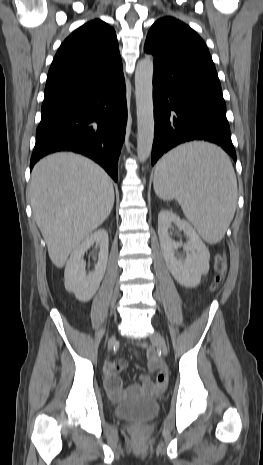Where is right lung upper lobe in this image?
<instances>
[{"label": "right lung upper lobe", "mask_w": 263, "mask_h": 465, "mask_svg": "<svg viewBox=\"0 0 263 465\" xmlns=\"http://www.w3.org/2000/svg\"><path fill=\"white\" fill-rule=\"evenodd\" d=\"M122 73L116 33L107 23L95 19L62 43L49 69L45 94L100 83Z\"/></svg>", "instance_id": "cb5924a9"}]
</instances>
